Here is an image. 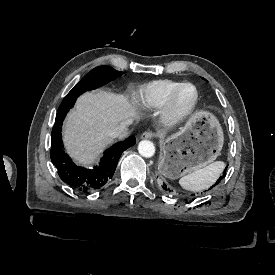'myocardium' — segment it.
Returning a JSON list of instances; mask_svg holds the SVG:
<instances>
[{"label": "myocardium", "mask_w": 275, "mask_h": 275, "mask_svg": "<svg viewBox=\"0 0 275 275\" xmlns=\"http://www.w3.org/2000/svg\"><path fill=\"white\" fill-rule=\"evenodd\" d=\"M184 88H191L193 96L190 101L184 105L179 103V95ZM199 100L197 87L188 82L179 83L172 91L169 99L163 107L161 119L164 125L173 127L183 123L193 112Z\"/></svg>", "instance_id": "obj_1"}]
</instances>
